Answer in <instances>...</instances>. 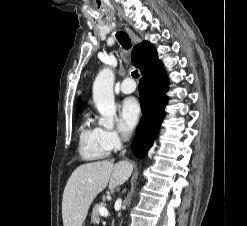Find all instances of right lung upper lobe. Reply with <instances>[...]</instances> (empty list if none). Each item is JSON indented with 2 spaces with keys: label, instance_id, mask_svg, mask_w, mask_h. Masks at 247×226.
<instances>
[{
  "label": "right lung upper lobe",
  "instance_id": "cb5924a9",
  "mask_svg": "<svg viewBox=\"0 0 247 226\" xmlns=\"http://www.w3.org/2000/svg\"><path fill=\"white\" fill-rule=\"evenodd\" d=\"M153 47L154 46L147 41H144L141 44H138L134 47L132 52V63L141 71L145 68L146 64L148 63L151 57V49ZM82 109L83 103L81 101V98L79 97L77 101V111L81 113Z\"/></svg>",
  "mask_w": 247,
  "mask_h": 226
}]
</instances>
